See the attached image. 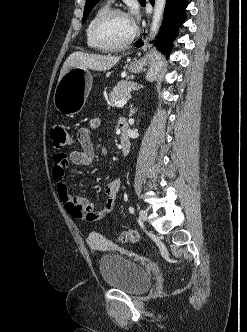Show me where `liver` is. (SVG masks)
Returning a JSON list of instances; mask_svg holds the SVG:
<instances>
[{"label":"liver","mask_w":247,"mask_h":332,"mask_svg":"<svg viewBox=\"0 0 247 332\" xmlns=\"http://www.w3.org/2000/svg\"><path fill=\"white\" fill-rule=\"evenodd\" d=\"M120 56H106L100 54H90L81 51L73 52L64 62L60 71L59 80L72 67H80L95 71H106L118 63Z\"/></svg>","instance_id":"liver-1"}]
</instances>
